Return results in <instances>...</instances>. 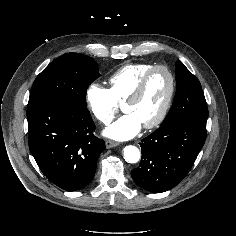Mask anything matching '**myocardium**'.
<instances>
[{"label": "myocardium", "mask_w": 236, "mask_h": 236, "mask_svg": "<svg viewBox=\"0 0 236 236\" xmlns=\"http://www.w3.org/2000/svg\"><path fill=\"white\" fill-rule=\"evenodd\" d=\"M162 70L164 71L168 78H169V90H168V94L165 100V103L160 111V113L158 114V116L151 122L144 124V128L146 129H152L155 128L157 126H159L164 119L166 118L169 109L171 107L173 98H174V94H175V89H176V81H175V77L173 72L170 70L169 67L165 66V65H155L153 67H151L149 70H147L144 75L141 77V79L139 80L138 84L136 85V87L134 88V90L132 91V93L129 95V97L125 100L124 102V106L129 104V103H133L135 101H137L144 89L145 86L149 80V78L151 77V75L156 72Z\"/></svg>", "instance_id": "myocardium-1"}]
</instances>
